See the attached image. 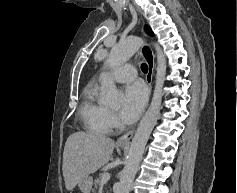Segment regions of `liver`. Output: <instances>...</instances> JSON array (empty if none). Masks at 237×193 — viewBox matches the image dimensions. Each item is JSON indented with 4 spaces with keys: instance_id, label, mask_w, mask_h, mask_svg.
I'll return each instance as SVG.
<instances>
[{
    "instance_id": "6515ba94",
    "label": "liver",
    "mask_w": 237,
    "mask_h": 193,
    "mask_svg": "<svg viewBox=\"0 0 237 193\" xmlns=\"http://www.w3.org/2000/svg\"><path fill=\"white\" fill-rule=\"evenodd\" d=\"M115 142L97 133L75 132L65 143L63 176L65 187L72 190L85 176L96 172L111 158Z\"/></svg>"
}]
</instances>
